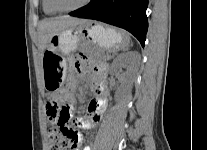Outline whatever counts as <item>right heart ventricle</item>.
Instances as JSON below:
<instances>
[{
	"mask_svg": "<svg viewBox=\"0 0 207 150\" xmlns=\"http://www.w3.org/2000/svg\"><path fill=\"white\" fill-rule=\"evenodd\" d=\"M42 8H43V11L45 14L47 15H55L57 14V11H55L50 3H49V0H42Z\"/></svg>",
	"mask_w": 207,
	"mask_h": 150,
	"instance_id": "e07e8e85",
	"label": "right heart ventricle"
}]
</instances>
